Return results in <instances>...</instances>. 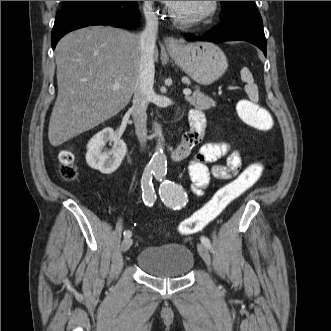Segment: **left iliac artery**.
<instances>
[{"mask_svg": "<svg viewBox=\"0 0 331 331\" xmlns=\"http://www.w3.org/2000/svg\"><path fill=\"white\" fill-rule=\"evenodd\" d=\"M166 173L167 171L162 169L154 172L156 179L162 182L159 189L160 197L165 205L174 210H179L186 205L187 194L181 186L166 180ZM200 240L208 249H211V242L207 237L202 236Z\"/></svg>", "mask_w": 331, "mask_h": 331, "instance_id": "obj_1", "label": "left iliac artery"}]
</instances>
